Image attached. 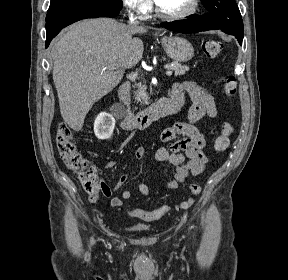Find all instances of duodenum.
<instances>
[{
    "label": "duodenum",
    "mask_w": 288,
    "mask_h": 280,
    "mask_svg": "<svg viewBox=\"0 0 288 280\" xmlns=\"http://www.w3.org/2000/svg\"><path fill=\"white\" fill-rule=\"evenodd\" d=\"M118 97L124 109L121 126L128 131L145 129L153 122L177 113L183 105L181 100L173 97L161 98L147 109L133 113L130 110V85L128 82L120 85Z\"/></svg>",
    "instance_id": "1"
}]
</instances>
